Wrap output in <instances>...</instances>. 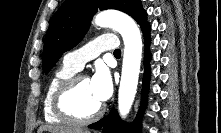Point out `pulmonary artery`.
Here are the masks:
<instances>
[{
  "instance_id": "1",
  "label": "pulmonary artery",
  "mask_w": 221,
  "mask_h": 133,
  "mask_svg": "<svg viewBox=\"0 0 221 133\" xmlns=\"http://www.w3.org/2000/svg\"><path fill=\"white\" fill-rule=\"evenodd\" d=\"M119 43L112 34H102L85 46L64 56V63L76 70H81L85 63L96 58L103 51H115Z\"/></svg>"
}]
</instances>
